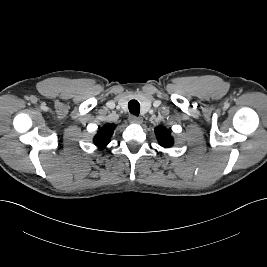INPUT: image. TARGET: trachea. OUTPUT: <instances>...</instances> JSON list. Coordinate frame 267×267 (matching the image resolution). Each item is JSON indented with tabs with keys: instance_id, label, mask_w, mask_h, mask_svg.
Segmentation results:
<instances>
[{
	"instance_id": "3493384b",
	"label": "trachea",
	"mask_w": 267,
	"mask_h": 267,
	"mask_svg": "<svg viewBox=\"0 0 267 267\" xmlns=\"http://www.w3.org/2000/svg\"><path fill=\"white\" fill-rule=\"evenodd\" d=\"M128 108L131 114L138 116L140 112V104L137 100H130L128 103Z\"/></svg>"
}]
</instances>
